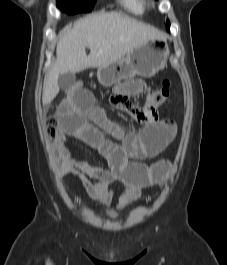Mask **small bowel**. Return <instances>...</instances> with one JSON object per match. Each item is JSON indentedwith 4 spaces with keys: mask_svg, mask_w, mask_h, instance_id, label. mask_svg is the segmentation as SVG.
<instances>
[{
    "mask_svg": "<svg viewBox=\"0 0 227 265\" xmlns=\"http://www.w3.org/2000/svg\"><path fill=\"white\" fill-rule=\"evenodd\" d=\"M116 85L112 108L135 117L133 112H141L142 108L135 106L127 96L140 94L145 82L133 79L117 81ZM64 96L65 99H60V111H57L59 129L53 148L61 172L76 177L88 196L109 206L116 199V190L111 185L119 182L122 191L117 197V210L121 211L135 202L144 188L164 178L157 180L151 173L153 164L142 161L158 156L171 143L176 134L173 122L162 120L144 127L139 133L125 132L95 105L98 99H93L86 87H67ZM67 137H74L97 150L107 161L108 168L72 155L66 146ZM109 215L114 216V213Z\"/></svg>",
    "mask_w": 227,
    "mask_h": 265,
    "instance_id": "1",
    "label": "small bowel"
}]
</instances>
